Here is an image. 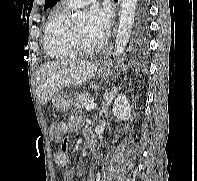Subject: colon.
Masks as SVG:
<instances>
[{
    "label": "colon",
    "mask_w": 197,
    "mask_h": 181,
    "mask_svg": "<svg viewBox=\"0 0 197 181\" xmlns=\"http://www.w3.org/2000/svg\"><path fill=\"white\" fill-rule=\"evenodd\" d=\"M49 133L55 138H60L61 124L58 122H51L48 126Z\"/></svg>",
    "instance_id": "obj_1"
}]
</instances>
